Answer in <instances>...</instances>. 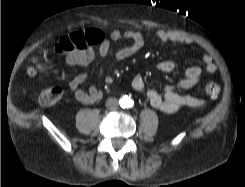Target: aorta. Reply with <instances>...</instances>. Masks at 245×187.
Segmentation results:
<instances>
[{
    "mask_svg": "<svg viewBox=\"0 0 245 187\" xmlns=\"http://www.w3.org/2000/svg\"><path fill=\"white\" fill-rule=\"evenodd\" d=\"M123 102H122V106H127V104H128V102L130 101V99H128L127 97H125V98H123V100H122Z\"/></svg>",
    "mask_w": 245,
    "mask_h": 187,
    "instance_id": "aorta-1",
    "label": "aorta"
}]
</instances>
